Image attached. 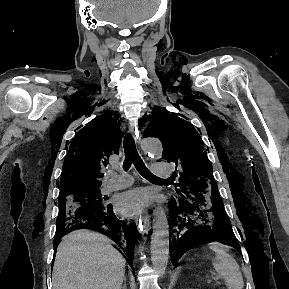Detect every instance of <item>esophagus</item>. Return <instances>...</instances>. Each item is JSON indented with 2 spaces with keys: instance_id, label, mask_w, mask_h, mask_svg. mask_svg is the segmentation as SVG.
<instances>
[{
  "instance_id": "1",
  "label": "esophagus",
  "mask_w": 289,
  "mask_h": 289,
  "mask_svg": "<svg viewBox=\"0 0 289 289\" xmlns=\"http://www.w3.org/2000/svg\"><path fill=\"white\" fill-rule=\"evenodd\" d=\"M130 129H133L134 125L130 124ZM133 136L136 140V143L139 145L140 144V134L138 130L136 132H133ZM137 221L139 223V228L141 229L142 233L145 235H148L150 230H151V223L149 219V214L147 211H144L138 218Z\"/></svg>"
}]
</instances>
